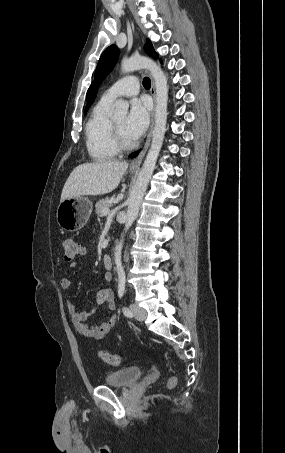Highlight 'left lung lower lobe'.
Returning <instances> with one entry per match:
<instances>
[{
  "label": "left lung lower lobe",
  "instance_id": "left-lung-lower-lobe-1",
  "mask_svg": "<svg viewBox=\"0 0 285 453\" xmlns=\"http://www.w3.org/2000/svg\"><path fill=\"white\" fill-rule=\"evenodd\" d=\"M137 154H138L137 152H136V153H132V154L130 155V157H135Z\"/></svg>",
  "mask_w": 285,
  "mask_h": 453
}]
</instances>
